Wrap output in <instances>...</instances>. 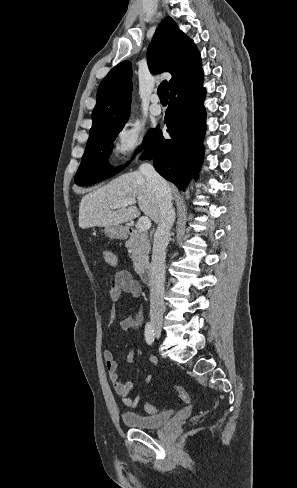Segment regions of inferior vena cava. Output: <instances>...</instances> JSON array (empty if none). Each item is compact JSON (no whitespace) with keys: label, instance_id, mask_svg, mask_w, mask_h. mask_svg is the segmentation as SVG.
I'll return each mask as SVG.
<instances>
[{"label":"inferior vena cava","instance_id":"obj_1","mask_svg":"<svg viewBox=\"0 0 297 488\" xmlns=\"http://www.w3.org/2000/svg\"><path fill=\"white\" fill-rule=\"evenodd\" d=\"M139 170L153 186L161 202V220L154 235L152 249L150 316L151 318L162 317L164 313L165 250L175 220V210L172 205L171 189L168 183L155 171L153 165L144 162L140 165Z\"/></svg>","mask_w":297,"mask_h":488}]
</instances>
